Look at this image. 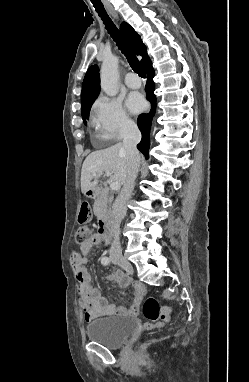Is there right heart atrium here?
Masks as SVG:
<instances>
[{
  "mask_svg": "<svg viewBox=\"0 0 249 382\" xmlns=\"http://www.w3.org/2000/svg\"><path fill=\"white\" fill-rule=\"evenodd\" d=\"M92 121L100 135L108 140H119L135 128L121 101L106 96L95 101Z\"/></svg>",
  "mask_w": 249,
  "mask_h": 382,
  "instance_id": "d8ad5b80",
  "label": "right heart atrium"
}]
</instances>
